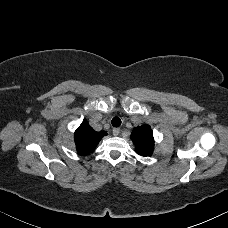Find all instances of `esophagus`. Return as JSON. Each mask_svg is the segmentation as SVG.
Wrapping results in <instances>:
<instances>
[{"mask_svg":"<svg viewBox=\"0 0 228 228\" xmlns=\"http://www.w3.org/2000/svg\"><path fill=\"white\" fill-rule=\"evenodd\" d=\"M119 133H120V129H119V128H114V129H113V135H114V136H118Z\"/></svg>","mask_w":228,"mask_h":228,"instance_id":"obj_1","label":"esophagus"}]
</instances>
